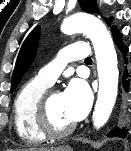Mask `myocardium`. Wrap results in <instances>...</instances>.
Listing matches in <instances>:
<instances>
[{"label": "myocardium", "mask_w": 131, "mask_h": 151, "mask_svg": "<svg viewBox=\"0 0 131 151\" xmlns=\"http://www.w3.org/2000/svg\"><path fill=\"white\" fill-rule=\"evenodd\" d=\"M57 89H47L40 97L37 104L36 120L41 132L49 138H60L69 135L75 129L76 125L72 123L65 128H55L50 120L49 100L54 94H58Z\"/></svg>", "instance_id": "myocardium-1"}]
</instances>
